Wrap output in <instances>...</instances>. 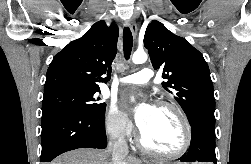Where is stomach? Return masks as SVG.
<instances>
[{"label": "stomach", "instance_id": "stomach-1", "mask_svg": "<svg viewBox=\"0 0 251 164\" xmlns=\"http://www.w3.org/2000/svg\"><path fill=\"white\" fill-rule=\"evenodd\" d=\"M156 164H164L163 162H158V163H156ZM175 164H178V163H175Z\"/></svg>", "mask_w": 251, "mask_h": 164}]
</instances>
